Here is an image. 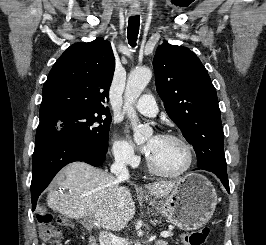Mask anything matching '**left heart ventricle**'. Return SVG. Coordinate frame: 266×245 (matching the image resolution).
Wrapping results in <instances>:
<instances>
[{
    "label": "left heart ventricle",
    "mask_w": 266,
    "mask_h": 245,
    "mask_svg": "<svg viewBox=\"0 0 266 245\" xmlns=\"http://www.w3.org/2000/svg\"><path fill=\"white\" fill-rule=\"evenodd\" d=\"M149 160L162 173H178L186 165L187 152L180 142L159 137Z\"/></svg>",
    "instance_id": "1"
}]
</instances>
